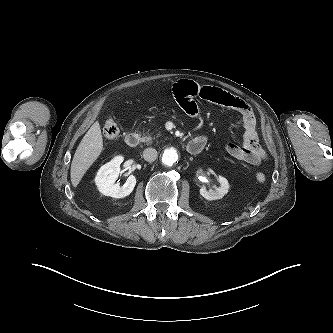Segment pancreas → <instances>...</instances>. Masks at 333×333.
I'll return each mask as SVG.
<instances>
[{"label":"pancreas","instance_id":"pancreas-1","mask_svg":"<svg viewBox=\"0 0 333 333\" xmlns=\"http://www.w3.org/2000/svg\"><path fill=\"white\" fill-rule=\"evenodd\" d=\"M154 137H152L149 133L145 137L142 138L143 142H146L148 145L152 144Z\"/></svg>","mask_w":333,"mask_h":333}]
</instances>
